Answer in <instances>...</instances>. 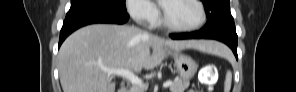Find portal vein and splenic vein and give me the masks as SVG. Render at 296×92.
<instances>
[{
    "label": "portal vein and splenic vein",
    "mask_w": 296,
    "mask_h": 92,
    "mask_svg": "<svg viewBox=\"0 0 296 92\" xmlns=\"http://www.w3.org/2000/svg\"><path fill=\"white\" fill-rule=\"evenodd\" d=\"M103 70L109 74L120 75V76L128 79L129 81H131L132 83H134L135 85H137L140 88L144 87L143 82L128 69H107V68H104ZM171 84H172V81H166L163 84V87H169Z\"/></svg>",
    "instance_id": "obj_1"
}]
</instances>
